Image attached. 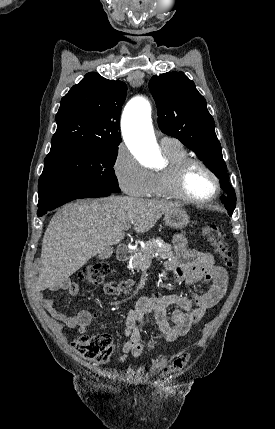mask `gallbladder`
<instances>
[{"label":"gallbladder","instance_id":"gallbladder-1","mask_svg":"<svg viewBox=\"0 0 275 429\" xmlns=\"http://www.w3.org/2000/svg\"><path fill=\"white\" fill-rule=\"evenodd\" d=\"M113 254V248L112 247H105L97 256L100 260H105L111 257Z\"/></svg>","mask_w":275,"mask_h":429}]
</instances>
